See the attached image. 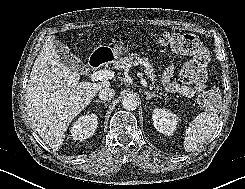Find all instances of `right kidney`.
Returning a JSON list of instances; mask_svg holds the SVG:
<instances>
[{
	"instance_id": "right-kidney-1",
	"label": "right kidney",
	"mask_w": 245,
	"mask_h": 189,
	"mask_svg": "<svg viewBox=\"0 0 245 189\" xmlns=\"http://www.w3.org/2000/svg\"><path fill=\"white\" fill-rule=\"evenodd\" d=\"M98 125L97 116L88 114L79 117L70 129L71 136L74 140L83 141L91 137L96 131Z\"/></svg>"
}]
</instances>
